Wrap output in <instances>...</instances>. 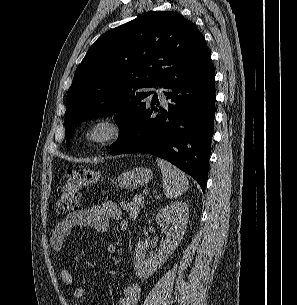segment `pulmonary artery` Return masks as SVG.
I'll use <instances>...</instances> for the list:
<instances>
[{"mask_svg": "<svg viewBox=\"0 0 297 305\" xmlns=\"http://www.w3.org/2000/svg\"><path fill=\"white\" fill-rule=\"evenodd\" d=\"M148 90L152 92V95L162 96V89L159 87H151Z\"/></svg>", "mask_w": 297, "mask_h": 305, "instance_id": "1", "label": "pulmonary artery"}]
</instances>
